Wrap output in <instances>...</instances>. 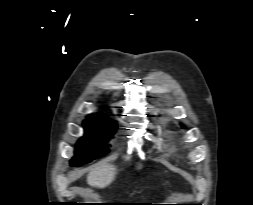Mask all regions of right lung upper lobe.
<instances>
[{"mask_svg": "<svg viewBox=\"0 0 253 205\" xmlns=\"http://www.w3.org/2000/svg\"><path fill=\"white\" fill-rule=\"evenodd\" d=\"M90 118H95V119H108V117H106L105 115L98 113V114H93L88 116Z\"/></svg>", "mask_w": 253, "mask_h": 205, "instance_id": "1", "label": "right lung upper lobe"}]
</instances>
